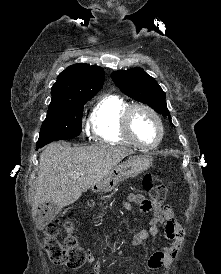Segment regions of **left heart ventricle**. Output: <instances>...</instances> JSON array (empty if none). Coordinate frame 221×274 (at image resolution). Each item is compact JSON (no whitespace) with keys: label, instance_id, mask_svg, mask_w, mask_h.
<instances>
[{"label":"left heart ventricle","instance_id":"1","mask_svg":"<svg viewBox=\"0 0 221 274\" xmlns=\"http://www.w3.org/2000/svg\"><path fill=\"white\" fill-rule=\"evenodd\" d=\"M132 129L135 137L143 144H153L159 136L154 118L146 111L137 110L132 117Z\"/></svg>","mask_w":221,"mask_h":274}]
</instances>
